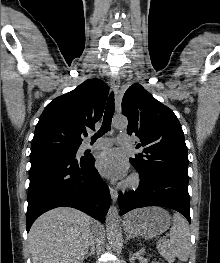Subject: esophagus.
<instances>
[{"mask_svg": "<svg viewBox=\"0 0 220 263\" xmlns=\"http://www.w3.org/2000/svg\"><path fill=\"white\" fill-rule=\"evenodd\" d=\"M111 86L115 92V94L118 93V89L120 87V79H119V76L117 75H113L111 77ZM109 190H110V195H111V198L113 200V202L115 203L118 199V191L113 188V187H109Z\"/></svg>", "mask_w": 220, "mask_h": 263, "instance_id": "34e87169", "label": "esophagus"}]
</instances>
